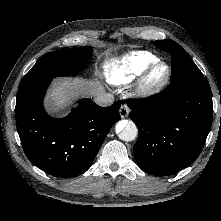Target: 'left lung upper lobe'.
I'll return each instance as SVG.
<instances>
[{"label": "left lung upper lobe", "instance_id": "1", "mask_svg": "<svg viewBox=\"0 0 221 221\" xmlns=\"http://www.w3.org/2000/svg\"><path fill=\"white\" fill-rule=\"evenodd\" d=\"M154 44L156 47L171 54V82L186 77H203L202 72L178 43L167 39L155 41Z\"/></svg>", "mask_w": 221, "mask_h": 221}]
</instances>
